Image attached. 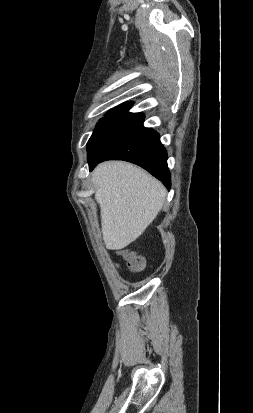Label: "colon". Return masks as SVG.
I'll return each mask as SVG.
<instances>
[{"instance_id": "colon-1", "label": "colon", "mask_w": 253, "mask_h": 413, "mask_svg": "<svg viewBox=\"0 0 253 413\" xmlns=\"http://www.w3.org/2000/svg\"><path fill=\"white\" fill-rule=\"evenodd\" d=\"M123 255L133 271L139 272L144 268V260L140 256L128 251L123 252Z\"/></svg>"}]
</instances>
